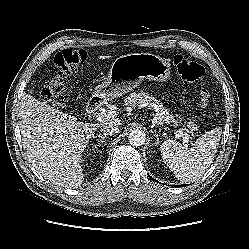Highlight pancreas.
Listing matches in <instances>:
<instances>
[{
	"mask_svg": "<svg viewBox=\"0 0 249 249\" xmlns=\"http://www.w3.org/2000/svg\"><path fill=\"white\" fill-rule=\"evenodd\" d=\"M125 104L130 106L143 105L152 108L155 105V108L158 113V121L160 124L163 123H173V125H177V121L170 115L168 109H166L162 104L159 103L154 97L150 96L148 93L140 92V93H132L130 97L125 99ZM191 127H194V124H189Z\"/></svg>",
	"mask_w": 249,
	"mask_h": 249,
	"instance_id": "1",
	"label": "pancreas"
}]
</instances>
